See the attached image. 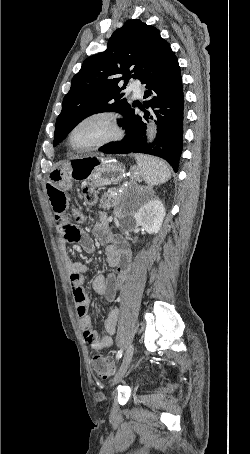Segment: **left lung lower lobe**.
Instances as JSON below:
<instances>
[{
    "label": "left lung lower lobe",
    "mask_w": 250,
    "mask_h": 454,
    "mask_svg": "<svg viewBox=\"0 0 250 454\" xmlns=\"http://www.w3.org/2000/svg\"><path fill=\"white\" fill-rule=\"evenodd\" d=\"M145 84V107L153 108L157 118V136L153 143H146V124L135 114L132 104L119 124L126 130L125 137L119 142H111L99 150L106 154L145 153L165 159L174 169L182 152L184 97L182 78L178 60L173 51L147 76ZM144 111L143 106H139ZM148 112L144 115L148 119Z\"/></svg>",
    "instance_id": "1"
}]
</instances>
